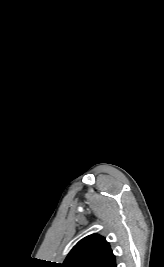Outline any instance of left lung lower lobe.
<instances>
[{"instance_id":"left-lung-lower-lobe-1","label":"left lung lower lobe","mask_w":164,"mask_h":267,"mask_svg":"<svg viewBox=\"0 0 164 267\" xmlns=\"http://www.w3.org/2000/svg\"><path fill=\"white\" fill-rule=\"evenodd\" d=\"M108 267H116L115 259L108 265Z\"/></svg>"}]
</instances>
